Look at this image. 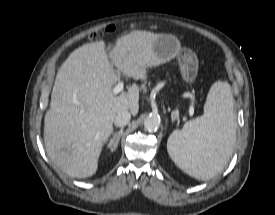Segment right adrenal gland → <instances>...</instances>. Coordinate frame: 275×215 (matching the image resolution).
<instances>
[{"label":"right adrenal gland","mask_w":275,"mask_h":215,"mask_svg":"<svg viewBox=\"0 0 275 215\" xmlns=\"http://www.w3.org/2000/svg\"><path fill=\"white\" fill-rule=\"evenodd\" d=\"M122 134H123V128H121L119 132L114 133L113 139H111L109 144L107 145V147L111 150V152H114L116 150Z\"/></svg>","instance_id":"right-adrenal-gland-1"}]
</instances>
